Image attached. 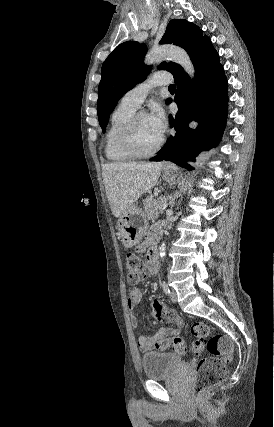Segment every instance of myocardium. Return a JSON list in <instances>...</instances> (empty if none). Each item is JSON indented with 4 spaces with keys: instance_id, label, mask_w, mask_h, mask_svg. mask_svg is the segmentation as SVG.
Wrapping results in <instances>:
<instances>
[{
    "instance_id": "f54148a6",
    "label": "myocardium",
    "mask_w": 274,
    "mask_h": 427,
    "mask_svg": "<svg viewBox=\"0 0 274 427\" xmlns=\"http://www.w3.org/2000/svg\"><path fill=\"white\" fill-rule=\"evenodd\" d=\"M143 115H147L144 111H139L134 113V115L129 119V121L126 123L122 134H121V145L125 152L132 158V159H149L156 156L160 150L164 147L165 144V137L162 136L161 140L157 144V146L148 153H140L136 150L135 144H134V132L136 124L139 120V118Z\"/></svg>"
}]
</instances>
